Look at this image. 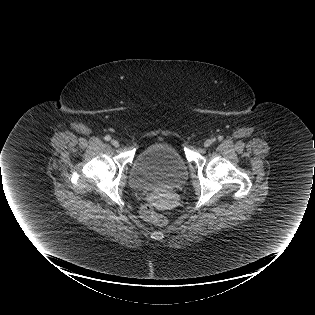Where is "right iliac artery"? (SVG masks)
<instances>
[{
	"mask_svg": "<svg viewBox=\"0 0 315 315\" xmlns=\"http://www.w3.org/2000/svg\"><path fill=\"white\" fill-rule=\"evenodd\" d=\"M111 139V137L109 136V135H106L105 137H104V140L105 141H109Z\"/></svg>",
	"mask_w": 315,
	"mask_h": 315,
	"instance_id": "obj_1",
	"label": "right iliac artery"
}]
</instances>
